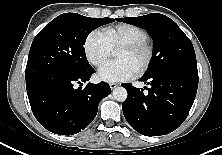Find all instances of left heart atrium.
Listing matches in <instances>:
<instances>
[{"label":"left heart atrium","mask_w":222,"mask_h":155,"mask_svg":"<svg viewBox=\"0 0 222 155\" xmlns=\"http://www.w3.org/2000/svg\"><path fill=\"white\" fill-rule=\"evenodd\" d=\"M136 71L125 61L117 60L103 65L98 71L100 80L121 82L132 78Z\"/></svg>","instance_id":"left-heart-atrium-1"}]
</instances>
